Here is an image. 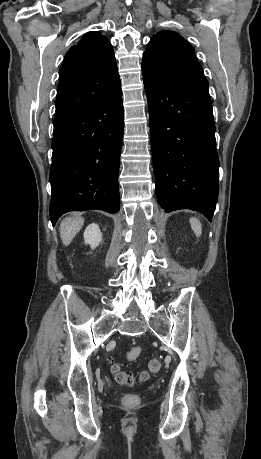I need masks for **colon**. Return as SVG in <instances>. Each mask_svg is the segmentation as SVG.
I'll use <instances>...</instances> for the list:
<instances>
[{
    "label": "colon",
    "instance_id": "colon-1",
    "mask_svg": "<svg viewBox=\"0 0 261 459\" xmlns=\"http://www.w3.org/2000/svg\"><path fill=\"white\" fill-rule=\"evenodd\" d=\"M141 354L139 347H133L128 350L126 358L130 361L136 360ZM110 372L112 373L115 381L122 386H133L135 383V376L129 371L122 370L120 365L114 360L108 361ZM160 362L157 359H151L147 364V369L142 371L139 375V380L144 381L148 378L149 374H155L160 370ZM123 402L127 405H133L137 402V397L133 394H126L123 397Z\"/></svg>",
    "mask_w": 261,
    "mask_h": 459
}]
</instances>
